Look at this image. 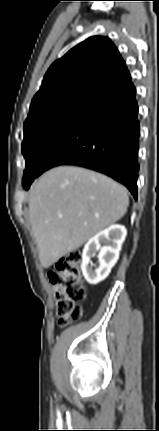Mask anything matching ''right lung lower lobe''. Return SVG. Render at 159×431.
I'll list each match as a JSON object with an SVG mask.
<instances>
[{"label":"right lung lower lobe","mask_w":159,"mask_h":431,"mask_svg":"<svg viewBox=\"0 0 159 431\" xmlns=\"http://www.w3.org/2000/svg\"><path fill=\"white\" fill-rule=\"evenodd\" d=\"M139 130L134 92L98 110L65 133L45 155L36 177L54 166L76 165L114 178L136 199ZM33 180L24 184V188L28 189Z\"/></svg>","instance_id":"right-lung-lower-lobe-1"}]
</instances>
